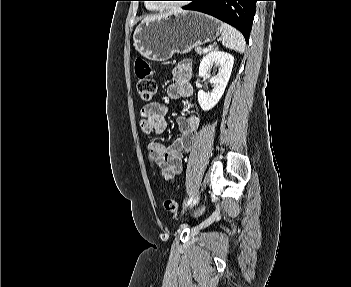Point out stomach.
<instances>
[{"instance_id":"0dacf381","label":"stomach","mask_w":351,"mask_h":287,"mask_svg":"<svg viewBox=\"0 0 351 287\" xmlns=\"http://www.w3.org/2000/svg\"><path fill=\"white\" fill-rule=\"evenodd\" d=\"M222 33L220 21L190 11L143 21L133 35L135 49L145 58L164 62L175 53H188L193 47L211 42Z\"/></svg>"}]
</instances>
